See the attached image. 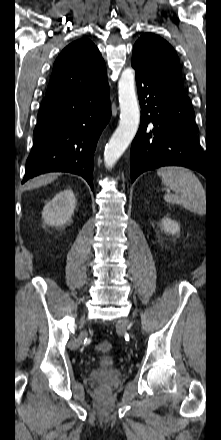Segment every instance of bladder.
I'll return each mask as SVG.
<instances>
[{
	"mask_svg": "<svg viewBox=\"0 0 221 440\" xmlns=\"http://www.w3.org/2000/svg\"><path fill=\"white\" fill-rule=\"evenodd\" d=\"M114 359L112 357L109 356H104L102 358H100L98 364L102 367H110L114 364Z\"/></svg>",
	"mask_w": 221,
	"mask_h": 440,
	"instance_id": "31cf9c89",
	"label": "bladder"
}]
</instances>
